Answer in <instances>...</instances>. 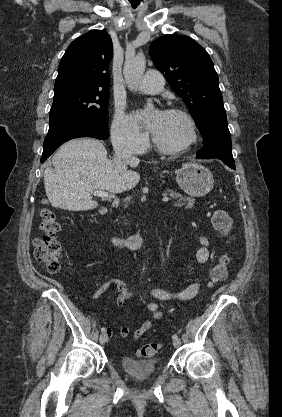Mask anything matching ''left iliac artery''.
I'll return each instance as SVG.
<instances>
[{"instance_id": "1", "label": "left iliac artery", "mask_w": 282, "mask_h": 417, "mask_svg": "<svg viewBox=\"0 0 282 417\" xmlns=\"http://www.w3.org/2000/svg\"><path fill=\"white\" fill-rule=\"evenodd\" d=\"M172 339H173V340L178 339V335H177V334H173V335H172Z\"/></svg>"}]
</instances>
